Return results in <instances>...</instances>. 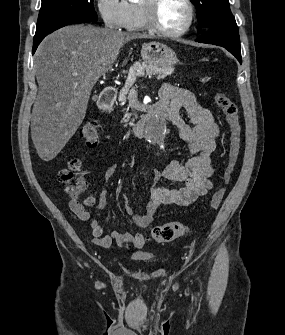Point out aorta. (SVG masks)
<instances>
[{
	"label": "aorta",
	"mask_w": 285,
	"mask_h": 335,
	"mask_svg": "<svg viewBox=\"0 0 285 335\" xmlns=\"http://www.w3.org/2000/svg\"><path fill=\"white\" fill-rule=\"evenodd\" d=\"M134 2V0H129ZM168 119H149L146 127H140V134H148V137H155L157 140H151V147H162L163 141L158 140L160 137H167L171 134V127Z\"/></svg>",
	"instance_id": "762f6f07"
}]
</instances>
